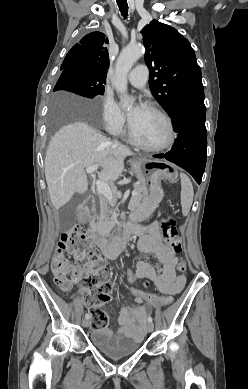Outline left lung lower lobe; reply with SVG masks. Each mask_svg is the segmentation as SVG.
Instances as JSON below:
<instances>
[{
	"label": "left lung lower lobe",
	"mask_w": 248,
	"mask_h": 389,
	"mask_svg": "<svg viewBox=\"0 0 248 389\" xmlns=\"http://www.w3.org/2000/svg\"><path fill=\"white\" fill-rule=\"evenodd\" d=\"M168 115L178 136L171 151L155 157L165 158L182 167L200 184L207 159L204 93L184 98Z\"/></svg>",
	"instance_id": "0a47b994"
}]
</instances>
